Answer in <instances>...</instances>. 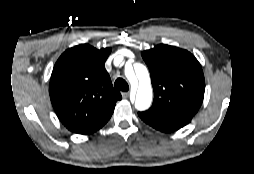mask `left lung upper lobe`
Here are the masks:
<instances>
[{
    "label": "left lung upper lobe",
    "instance_id": "1",
    "mask_svg": "<svg viewBox=\"0 0 254 174\" xmlns=\"http://www.w3.org/2000/svg\"><path fill=\"white\" fill-rule=\"evenodd\" d=\"M141 55L149 68L154 89L151 109L192 118L202 104L205 91L198 60L186 50L162 44Z\"/></svg>",
    "mask_w": 254,
    "mask_h": 174
}]
</instances>
